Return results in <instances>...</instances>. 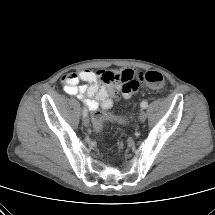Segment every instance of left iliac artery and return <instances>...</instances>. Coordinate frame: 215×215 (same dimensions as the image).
<instances>
[{
    "label": "left iliac artery",
    "mask_w": 215,
    "mask_h": 215,
    "mask_svg": "<svg viewBox=\"0 0 215 215\" xmlns=\"http://www.w3.org/2000/svg\"><path fill=\"white\" fill-rule=\"evenodd\" d=\"M142 109H145L148 106V102L146 100H143L140 104Z\"/></svg>",
    "instance_id": "44dca946"
}]
</instances>
